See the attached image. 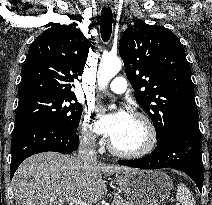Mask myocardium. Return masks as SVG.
<instances>
[{
    "instance_id": "f54148a6",
    "label": "myocardium",
    "mask_w": 212,
    "mask_h": 205,
    "mask_svg": "<svg viewBox=\"0 0 212 205\" xmlns=\"http://www.w3.org/2000/svg\"><path fill=\"white\" fill-rule=\"evenodd\" d=\"M131 117L140 121L143 124L146 131L145 143L137 150L123 151L115 147L112 140H110L108 143V148L112 154L118 157L128 159L142 158L149 155L157 146V131L154 123L146 114L141 112H134Z\"/></svg>"
}]
</instances>
